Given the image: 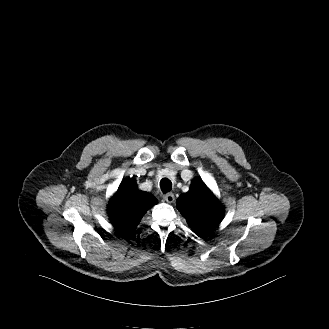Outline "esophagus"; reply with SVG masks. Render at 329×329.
Here are the masks:
<instances>
[{
    "label": "esophagus",
    "instance_id": "34e87169",
    "mask_svg": "<svg viewBox=\"0 0 329 329\" xmlns=\"http://www.w3.org/2000/svg\"><path fill=\"white\" fill-rule=\"evenodd\" d=\"M163 198L168 203H173L175 201V197L173 193H167L163 196Z\"/></svg>",
    "mask_w": 329,
    "mask_h": 329
}]
</instances>
